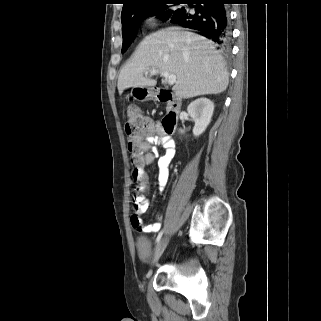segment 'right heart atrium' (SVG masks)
<instances>
[{
  "mask_svg": "<svg viewBox=\"0 0 321 321\" xmlns=\"http://www.w3.org/2000/svg\"><path fill=\"white\" fill-rule=\"evenodd\" d=\"M155 22H156V18L153 15H148L143 20V23L147 28L153 27Z\"/></svg>",
  "mask_w": 321,
  "mask_h": 321,
  "instance_id": "d8ad5b80",
  "label": "right heart atrium"
}]
</instances>
